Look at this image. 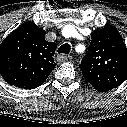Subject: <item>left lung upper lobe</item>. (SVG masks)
I'll list each match as a JSON object with an SVG mask.
<instances>
[{
    "label": "left lung upper lobe",
    "mask_w": 127,
    "mask_h": 127,
    "mask_svg": "<svg viewBox=\"0 0 127 127\" xmlns=\"http://www.w3.org/2000/svg\"><path fill=\"white\" fill-rule=\"evenodd\" d=\"M79 68L93 87L113 89L127 79V48L114 26L107 24L92 32Z\"/></svg>",
    "instance_id": "obj_1"
}]
</instances>
